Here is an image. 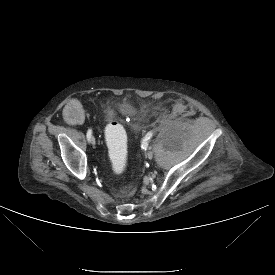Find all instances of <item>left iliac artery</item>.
Here are the masks:
<instances>
[{"instance_id":"1","label":"left iliac artery","mask_w":275,"mask_h":275,"mask_svg":"<svg viewBox=\"0 0 275 275\" xmlns=\"http://www.w3.org/2000/svg\"><path fill=\"white\" fill-rule=\"evenodd\" d=\"M152 135H153L152 132H148L146 138H147V139H150V138L152 137ZM142 148H143V147H142Z\"/></svg>"}]
</instances>
